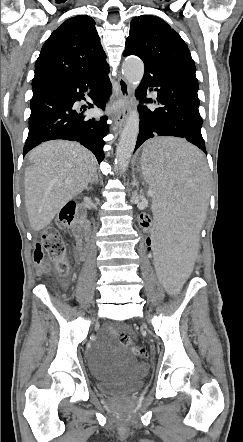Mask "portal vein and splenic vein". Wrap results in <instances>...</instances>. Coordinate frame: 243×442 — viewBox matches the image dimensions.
Listing matches in <instances>:
<instances>
[{
    "label": "portal vein and splenic vein",
    "mask_w": 243,
    "mask_h": 442,
    "mask_svg": "<svg viewBox=\"0 0 243 442\" xmlns=\"http://www.w3.org/2000/svg\"><path fill=\"white\" fill-rule=\"evenodd\" d=\"M147 193H148L149 196H153L155 192H154V190H148Z\"/></svg>",
    "instance_id": "18ae733b"
}]
</instances>
